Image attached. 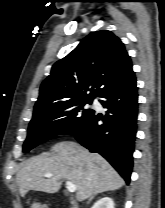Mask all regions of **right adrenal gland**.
<instances>
[{"mask_svg":"<svg viewBox=\"0 0 165 208\" xmlns=\"http://www.w3.org/2000/svg\"><path fill=\"white\" fill-rule=\"evenodd\" d=\"M94 197H95V195L92 196V197L88 200V204L90 203V201H91Z\"/></svg>","mask_w":165,"mask_h":208,"instance_id":"right-adrenal-gland-1","label":"right adrenal gland"}]
</instances>
